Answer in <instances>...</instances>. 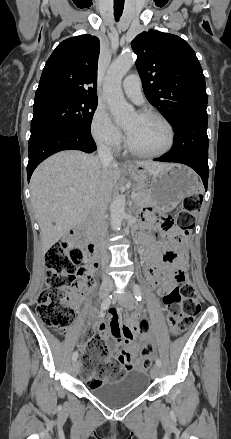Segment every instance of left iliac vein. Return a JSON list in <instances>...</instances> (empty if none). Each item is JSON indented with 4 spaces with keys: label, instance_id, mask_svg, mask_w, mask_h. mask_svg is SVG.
<instances>
[{
    "label": "left iliac vein",
    "instance_id": "1",
    "mask_svg": "<svg viewBox=\"0 0 231 439\" xmlns=\"http://www.w3.org/2000/svg\"><path fill=\"white\" fill-rule=\"evenodd\" d=\"M119 303L125 307L128 310H132L135 305V298L133 294L130 292V290L127 291L126 296L123 298L118 299ZM160 374V367L156 364L151 369V377L152 379H155Z\"/></svg>",
    "mask_w": 231,
    "mask_h": 439
}]
</instances>
